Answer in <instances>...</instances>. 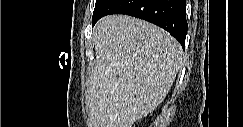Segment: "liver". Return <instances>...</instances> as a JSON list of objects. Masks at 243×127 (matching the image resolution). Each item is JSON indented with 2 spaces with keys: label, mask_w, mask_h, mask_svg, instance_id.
I'll list each match as a JSON object with an SVG mask.
<instances>
[{
  "label": "liver",
  "mask_w": 243,
  "mask_h": 127,
  "mask_svg": "<svg viewBox=\"0 0 243 127\" xmlns=\"http://www.w3.org/2000/svg\"><path fill=\"white\" fill-rule=\"evenodd\" d=\"M93 39L96 59L86 96L91 127H132L168 94L182 48L165 30L127 15L102 18Z\"/></svg>",
  "instance_id": "obj_1"
}]
</instances>
